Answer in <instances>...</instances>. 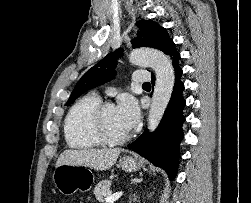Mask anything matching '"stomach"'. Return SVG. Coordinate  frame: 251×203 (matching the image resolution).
I'll list each match as a JSON object with an SVG mask.
<instances>
[{
    "mask_svg": "<svg viewBox=\"0 0 251 203\" xmlns=\"http://www.w3.org/2000/svg\"><path fill=\"white\" fill-rule=\"evenodd\" d=\"M118 166L126 172H133L141 167V163L130 156H124L120 158ZM94 179L92 171L83 165L62 164L53 173L55 187L64 195L73 194L77 190H90Z\"/></svg>",
    "mask_w": 251,
    "mask_h": 203,
    "instance_id": "obj_1",
    "label": "stomach"
}]
</instances>
